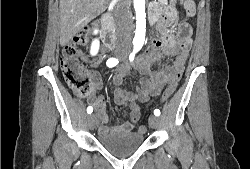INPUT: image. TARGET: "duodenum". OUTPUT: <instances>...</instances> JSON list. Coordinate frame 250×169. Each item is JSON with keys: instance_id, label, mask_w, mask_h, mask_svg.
<instances>
[{"instance_id": "1", "label": "duodenum", "mask_w": 250, "mask_h": 169, "mask_svg": "<svg viewBox=\"0 0 250 169\" xmlns=\"http://www.w3.org/2000/svg\"><path fill=\"white\" fill-rule=\"evenodd\" d=\"M102 37H103L104 43L109 48H114L117 45L114 22L110 13H106L103 16Z\"/></svg>"}]
</instances>
